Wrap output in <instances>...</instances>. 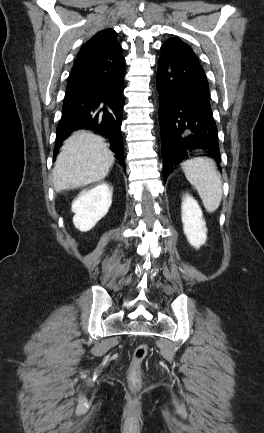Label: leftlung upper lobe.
Here are the masks:
<instances>
[{
	"instance_id": "5c2ea615",
	"label": "left lung upper lobe",
	"mask_w": 264,
	"mask_h": 433,
	"mask_svg": "<svg viewBox=\"0 0 264 433\" xmlns=\"http://www.w3.org/2000/svg\"><path fill=\"white\" fill-rule=\"evenodd\" d=\"M161 53L177 54V55H181L193 59L194 61L198 62L197 57L193 52L192 48L177 37L169 38L161 46Z\"/></svg>"
}]
</instances>
